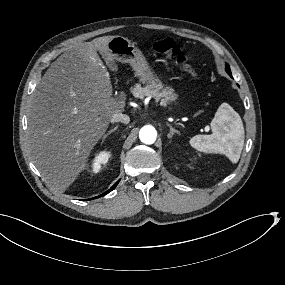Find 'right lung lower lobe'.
Masks as SVG:
<instances>
[{"mask_svg": "<svg viewBox=\"0 0 285 285\" xmlns=\"http://www.w3.org/2000/svg\"><path fill=\"white\" fill-rule=\"evenodd\" d=\"M118 182H119V181H117L108 191H106L105 193L101 194L100 196H97L96 198L101 197V196H103V195H106L107 193H109L110 191H112V190L117 186ZM92 199H93V198H92ZM88 200H90V199H88Z\"/></svg>", "mask_w": 285, "mask_h": 285, "instance_id": "right-lung-lower-lobe-1", "label": "right lung lower lobe"}]
</instances>
